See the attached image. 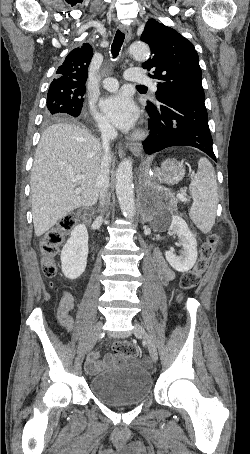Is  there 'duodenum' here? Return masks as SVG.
Returning a JSON list of instances; mask_svg holds the SVG:
<instances>
[{"instance_id": "duodenum-1", "label": "duodenum", "mask_w": 250, "mask_h": 454, "mask_svg": "<svg viewBox=\"0 0 250 454\" xmlns=\"http://www.w3.org/2000/svg\"><path fill=\"white\" fill-rule=\"evenodd\" d=\"M84 219H85L86 221H90V219H91V214H90V212L87 211V212L84 213Z\"/></svg>"}]
</instances>
